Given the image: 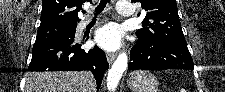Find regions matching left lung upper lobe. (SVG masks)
Listing matches in <instances>:
<instances>
[{
	"mask_svg": "<svg viewBox=\"0 0 225 92\" xmlns=\"http://www.w3.org/2000/svg\"><path fill=\"white\" fill-rule=\"evenodd\" d=\"M131 2H140L147 12L143 20L144 27L136 31L140 39L186 45L176 0H131Z\"/></svg>",
	"mask_w": 225,
	"mask_h": 92,
	"instance_id": "left-lung-upper-lobe-1",
	"label": "left lung upper lobe"
}]
</instances>
